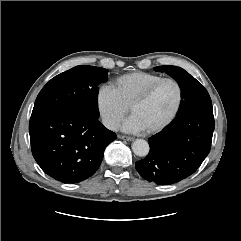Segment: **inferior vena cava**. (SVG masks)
<instances>
[{"mask_svg":"<svg viewBox=\"0 0 241 241\" xmlns=\"http://www.w3.org/2000/svg\"><path fill=\"white\" fill-rule=\"evenodd\" d=\"M102 122L104 124L105 127H107L110 130L113 131H118L119 127H120V123L119 121L112 119V118H103Z\"/></svg>","mask_w":241,"mask_h":241,"instance_id":"602c4592","label":"inferior vena cava"}]
</instances>
